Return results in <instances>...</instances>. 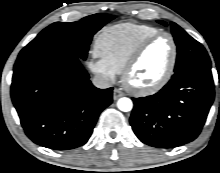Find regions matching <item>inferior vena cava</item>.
I'll use <instances>...</instances> for the list:
<instances>
[{
	"instance_id": "inferior-vena-cava-1",
	"label": "inferior vena cava",
	"mask_w": 220,
	"mask_h": 173,
	"mask_svg": "<svg viewBox=\"0 0 220 173\" xmlns=\"http://www.w3.org/2000/svg\"><path fill=\"white\" fill-rule=\"evenodd\" d=\"M92 83L95 87L100 88V89L109 88L113 84L111 79L100 74H97L94 76V78L92 79Z\"/></svg>"
}]
</instances>
